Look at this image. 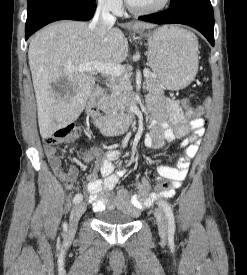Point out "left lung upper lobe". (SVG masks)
Instances as JSON below:
<instances>
[{
	"label": "left lung upper lobe",
	"instance_id": "5c2ea615",
	"mask_svg": "<svg viewBox=\"0 0 247 275\" xmlns=\"http://www.w3.org/2000/svg\"><path fill=\"white\" fill-rule=\"evenodd\" d=\"M187 1H190V0H171L170 7L179 5V4L187 2Z\"/></svg>",
	"mask_w": 247,
	"mask_h": 275
}]
</instances>
